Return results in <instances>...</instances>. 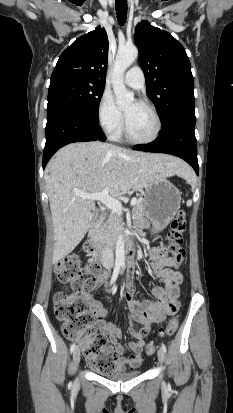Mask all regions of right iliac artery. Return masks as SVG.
<instances>
[{"instance_id": "right-iliac-artery-1", "label": "right iliac artery", "mask_w": 233, "mask_h": 413, "mask_svg": "<svg viewBox=\"0 0 233 413\" xmlns=\"http://www.w3.org/2000/svg\"><path fill=\"white\" fill-rule=\"evenodd\" d=\"M119 272H120V265H115L110 284H113L116 281ZM75 348H76V344L73 343L70 347V352L71 353L74 352Z\"/></svg>"}]
</instances>
